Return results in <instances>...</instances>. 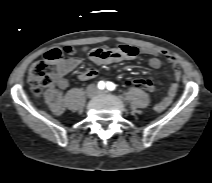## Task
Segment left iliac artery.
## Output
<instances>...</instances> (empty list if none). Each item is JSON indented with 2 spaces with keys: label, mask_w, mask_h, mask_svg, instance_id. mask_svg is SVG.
I'll list each match as a JSON object with an SVG mask.
<instances>
[{
  "label": "left iliac artery",
  "mask_w": 212,
  "mask_h": 183,
  "mask_svg": "<svg viewBox=\"0 0 212 183\" xmlns=\"http://www.w3.org/2000/svg\"><path fill=\"white\" fill-rule=\"evenodd\" d=\"M106 86H107V89L110 90V91H113L116 87L115 84L112 83V82H107Z\"/></svg>",
  "instance_id": "1"
}]
</instances>
